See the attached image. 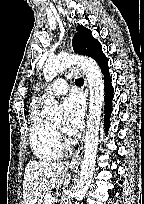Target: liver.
<instances>
[{
    "label": "liver",
    "instance_id": "liver-1",
    "mask_svg": "<svg viewBox=\"0 0 144 204\" xmlns=\"http://www.w3.org/2000/svg\"><path fill=\"white\" fill-rule=\"evenodd\" d=\"M68 166L66 162H28L23 180V203L37 204L47 190L67 185L70 181Z\"/></svg>",
    "mask_w": 144,
    "mask_h": 204
}]
</instances>
